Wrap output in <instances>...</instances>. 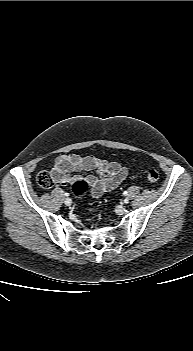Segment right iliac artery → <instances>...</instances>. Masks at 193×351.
<instances>
[{"label":"right iliac artery","mask_w":193,"mask_h":351,"mask_svg":"<svg viewBox=\"0 0 193 351\" xmlns=\"http://www.w3.org/2000/svg\"><path fill=\"white\" fill-rule=\"evenodd\" d=\"M64 195H65V196H69V193H65Z\"/></svg>","instance_id":"1"}]
</instances>
